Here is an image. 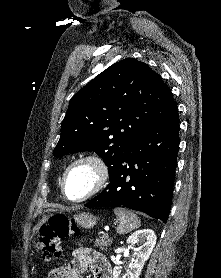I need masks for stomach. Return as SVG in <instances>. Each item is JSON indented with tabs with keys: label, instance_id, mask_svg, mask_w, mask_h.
Masks as SVG:
<instances>
[{
	"label": "stomach",
	"instance_id": "stomach-1",
	"mask_svg": "<svg viewBox=\"0 0 221 278\" xmlns=\"http://www.w3.org/2000/svg\"><path fill=\"white\" fill-rule=\"evenodd\" d=\"M98 220V217L90 214V213H80L77 215H74V221L75 223L82 227V228H86V229H90L92 227H94V225H96ZM48 221L47 217H43V219H41L38 224L34 227L33 232L34 234H39L40 228L42 227V225H44L46 222Z\"/></svg>",
	"mask_w": 221,
	"mask_h": 278
}]
</instances>
